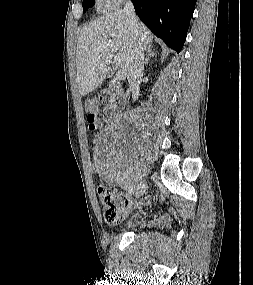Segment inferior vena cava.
<instances>
[{
    "instance_id": "obj_1",
    "label": "inferior vena cava",
    "mask_w": 253,
    "mask_h": 285,
    "mask_svg": "<svg viewBox=\"0 0 253 285\" xmlns=\"http://www.w3.org/2000/svg\"><path fill=\"white\" fill-rule=\"evenodd\" d=\"M124 13L126 14L133 32L137 38V46L133 49L130 63L128 67L127 79L129 83V91L132 93V98L135 101L138 99L140 90V76L143 73L144 67V48L141 47V42L139 39V20L135 14L134 5L130 0H127Z\"/></svg>"
}]
</instances>
